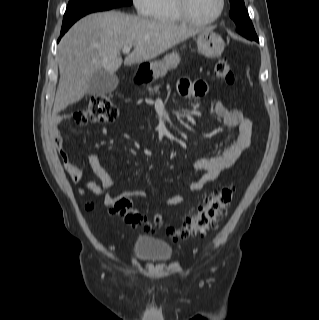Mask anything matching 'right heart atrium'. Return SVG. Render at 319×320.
<instances>
[{
	"instance_id": "obj_1",
	"label": "right heart atrium",
	"mask_w": 319,
	"mask_h": 320,
	"mask_svg": "<svg viewBox=\"0 0 319 320\" xmlns=\"http://www.w3.org/2000/svg\"><path fill=\"white\" fill-rule=\"evenodd\" d=\"M136 11L143 16H152L157 0H132Z\"/></svg>"
}]
</instances>
